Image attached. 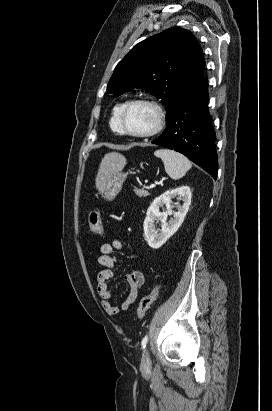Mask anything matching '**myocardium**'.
<instances>
[{
	"mask_svg": "<svg viewBox=\"0 0 272 411\" xmlns=\"http://www.w3.org/2000/svg\"><path fill=\"white\" fill-rule=\"evenodd\" d=\"M133 105H145L153 110L155 114V122H154V125L149 130L144 131V132H131L125 128V125H124L125 113ZM118 123H119L121 134L123 135L129 136L132 138H139V139L150 138L160 133L161 130L163 129L164 124H165V113L162 107L160 106V104L157 103L156 101L146 99V98H135V99H131L125 102V104L123 105V107L121 108L119 112Z\"/></svg>",
	"mask_w": 272,
	"mask_h": 411,
	"instance_id": "f54148a6",
	"label": "myocardium"
}]
</instances>
